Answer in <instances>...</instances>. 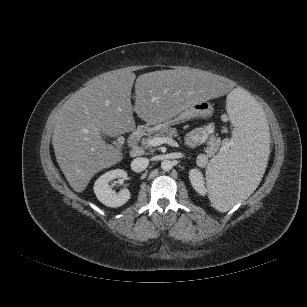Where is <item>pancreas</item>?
I'll return each instance as SVG.
<instances>
[{"label": "pancreas", "instance_id": "obj_1", "mask_svg": "<svg viewBox=\"0 0 307 307\" xmlns=\"http://www.w3.org/2000/svg\"><path fill=\"white\" fill-rule=\"evenodd\" d=\"M177 129L171 128L169 126L161 128L159 131L155 132L154 134H148V137L142 138L141 145L143 148H152V145L150 144V140L155 137H177ZM220 145L219 141H211L209 143V146L205 149V152L208 156H212L215 151H217L218 147Z\"/></svg>", "mask_w": 307, "mask_h": 307}]
</instances>
